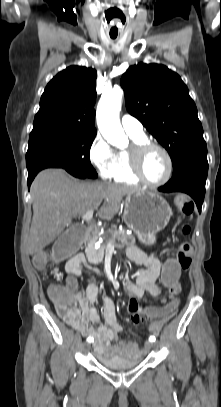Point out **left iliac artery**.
Returning a JSON list of instances; mask_svg holds the SVG:
<instances>
[{"label": "left iliac artery", "mask_w": 221, "mask_h": 407, "mask_svg": "<svg viewBox=\"0 0 221 407\" xmlns=\"http://www.w3.org/2000/svg\"><path fill=\"white\" fill-rule=\"evenodd\" d=\"M149 341H150V342H154V341H155V336H151V337L149 338Z\"/></svg>", "instance_id": "left-iliac-artery-1"}]
</instances>
